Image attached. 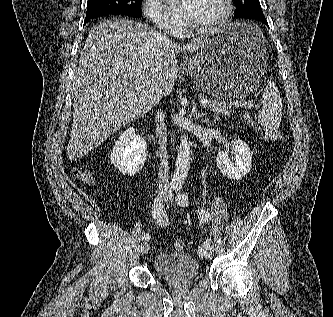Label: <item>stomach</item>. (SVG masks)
<instances>
[{"mask_svg": "<svg viewBox=\"0 0 333 317\" xmlns=\"http://www.w3.org/2000/svg\"><path fill=\"white\" fill-rule=\"evenodd\" d=\"M260 28L234 22L206 36L189 63L196 85L221 100L262 95L269 75H264L266 45Z\"/></svg>", "mask_w": 333, "mask_h": 317, "instance_id": "1", "label": "stomach"}]
</instances>
